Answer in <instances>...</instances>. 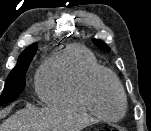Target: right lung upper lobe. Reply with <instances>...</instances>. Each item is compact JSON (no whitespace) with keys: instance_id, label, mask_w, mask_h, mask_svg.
<instances>
[{"instance_id":"1","label":"right lung upper lobe","mask_w":151,"mask_h":131,"mask_svg":"<svg viewBox=\"0 0 151 131\" xmlns=\"http://www.w3.org/2000/svg\"><path fill=\"white\" fill-rule=\"evenodd\" d=\"M34 45H37V44L35 43V44H33L32 46H34ZM32 46H30V47H32Z\"/></svg>"}]
</instances>
